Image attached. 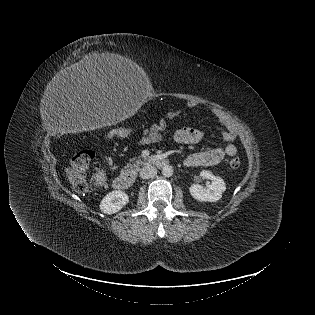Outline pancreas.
Returning a JSON list of instances; mask_svg holds the SVG:
<instances>
[{
  "label": "pancreas",
  "mask_w": 315,
  "mask_h": 315,
  "mask_svg": "<svg viewBox=\"0 0 315 315\" xmlns=\"http://www.w3.org/2000/svg\"><path fill=\"white\" fill-rule=\"evenodd\" d=\"M138 164H139V162H136V164H133V165L132 164H128L127 168H131V169L132 168H136V169H138Z\"/></svg>",
  "instance_id": "obj_1"
}]
</instances>
